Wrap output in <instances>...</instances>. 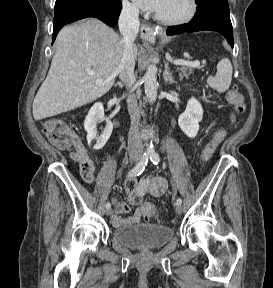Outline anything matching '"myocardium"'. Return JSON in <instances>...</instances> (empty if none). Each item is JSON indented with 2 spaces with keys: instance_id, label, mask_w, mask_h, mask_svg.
<instances>
[{
  "instance_id": "myocardium-1",
  "label": "myocardium",
  "mask_w": 273,
  "mask_h": 288,
  "mask_svg": "<svg viewBox=\"0 0 273 288\" xmlns=\"http://www.w3.org/2000/svg\"><path fill=\"white\" fill-rule=\"evenodd\" d=\"M189 5H190L189 11L184 16L170 19V18L162 17L156 13L155 19L158 22L165 24V25H181V24L187 23L195 16L197 12V7H198L196 0H189Z\"/></svg>"
}]
</instances>
